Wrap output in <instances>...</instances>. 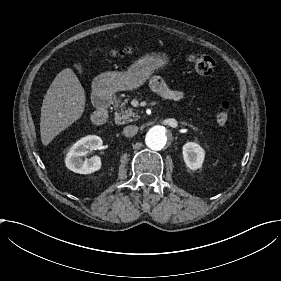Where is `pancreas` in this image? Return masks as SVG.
I'll return each mask as SVG.
<instances>
[{"mask_svg": "<svg viewBox=\"0 0 281 281\" xmlns=\"http://www.w3.org/2000/svg\"><path fill=\"white\" fill-rule=\"evenodd\" d=\"M114 108L117 110L115 112V123L125 124L132 121H136L138 116L133 111L132 108H126L127 100L121 101L120 99L113 97Z\"/></svg>", "mask_w": 281, "mask_h": 281, "instance_id": "obj_1", "label": "pancreas"}]
</instances>
